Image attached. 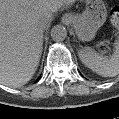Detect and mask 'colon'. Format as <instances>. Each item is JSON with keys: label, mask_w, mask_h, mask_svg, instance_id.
<instances>
[{"label": "colon", "mask_w": 119, "mask_h": 119, "mask_svg": "<svg viewBox=\"0 0 119 119\" xmlns=\"http://www.w3.org/2000/svg\"><path fill=\"white\" fill-rule=\"evenodd\" d=\"M110 21L115 30L119 28V6H114L110 11Z\"/></svg>", "instance_id": "colon-1"}]
</instances>
